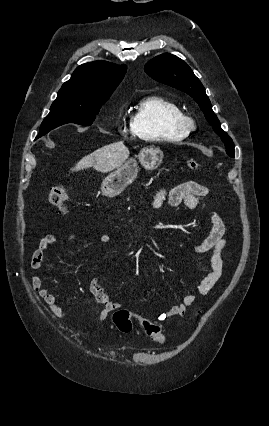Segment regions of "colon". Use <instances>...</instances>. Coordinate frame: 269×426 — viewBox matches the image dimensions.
<instances>
[{"label":"colon","instance_id":"colon-1","mask_svg":"<svg viewBox=\"0 0 269 426\" xmlns=\"http://www.w3.org/2000/svg\"><path fill=\"white\" fill-rule=\"evenodd\" d=\"M186 165L192 170H197L199 168V164L194 158H187ZM67 199V194L62 185L58 184L51 188L49 192V201L58 213L63 214L66 212ZM132 319V313L127 309H118L113 314V323L121 332H130L132 330ZM143 327L152 342L157 344L165 342V335L158 325L145 320L143 321Z\"/></svg>","mask_w":269,"mask_h":426}]
</instances>
